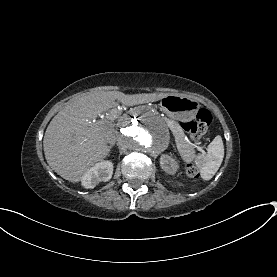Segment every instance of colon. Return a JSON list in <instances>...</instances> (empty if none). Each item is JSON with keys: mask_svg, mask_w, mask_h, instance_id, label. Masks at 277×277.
Here are the masks:
<instances>
[{"mask_svg": "<svg viewBox=\"0 0 277 277\" xmlns=\"http://www.w3.org/2000/svg\"><path fill=\"white\" fill-rule=\"evenodd\" d=\"M197 120H182L181 127L187 131L193 140H198L208 129L211 123V114L207 109L201 108L197 111ZM190 152V147L188 145H183L181 147V153L186 156ZM198 171L194 165L189 164L187 166V174L191 177H195Z\"/></svg>", "mask_w": 277, "mask_h": 277, "instance_id": "obj_1", "label": "colon"}]
</instances>
